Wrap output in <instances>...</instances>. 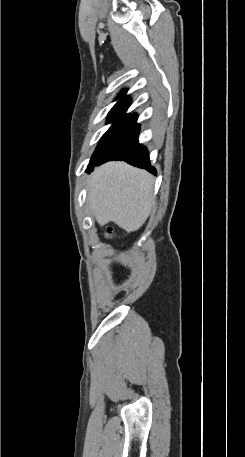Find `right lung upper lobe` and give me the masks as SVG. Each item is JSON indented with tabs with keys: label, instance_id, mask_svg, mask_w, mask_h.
I'll use <instances>...</instances> for the list:
<instances>
[{
	"label": "right lung upper lobe",
	"instance_id": "1",
	"mask_svg": "<svg viewBox=\"0 0 245 457\" xmlns=\"http://www.w3.org/2000/svg\"><path fill=\"white\" fill-rule=\"evenodd\" d=\"M126 90L122 91L117 99H120L112 108L110 112H125L129 107L131 101L125 97Z\"/></svg>",
	"mask_w": 245,
	"mask_h": 457
}]
</instances>
